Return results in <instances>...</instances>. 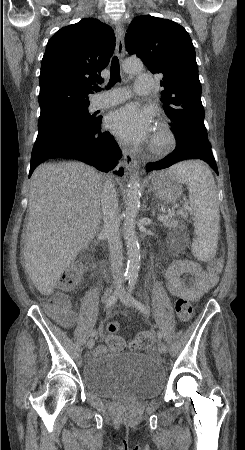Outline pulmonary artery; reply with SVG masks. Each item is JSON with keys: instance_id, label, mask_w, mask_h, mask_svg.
<instances>
[{"instance_id": "1", "label": "pulmonary artery", "mask_w": 245, "mask_h": 450, "mask_svg": "<svg viewBox=\"0 0 245 450\" xmlns=\"http://www.w3.org/2000/svg\"><path fill=\"white\" fill-rule=\"evenodd\" d=\"M156 80L154 76L144 73L137 76L135 80V91L139 95H148L152 93L153 86ZM126 87L107 91L98 95L94 102L96 108H105L128 99L125 95Z\"/></svg>"}]
</instances>
